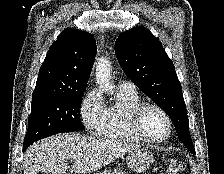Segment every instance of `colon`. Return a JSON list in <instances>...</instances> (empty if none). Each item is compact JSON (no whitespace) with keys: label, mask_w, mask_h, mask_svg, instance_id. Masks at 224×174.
<instances>
[{"label":"colon","mask_w":224,"mask_h":174,"mask_svg":"<svg viewBox=\"0 0 224 174\" xmlns=\"http://www.w3.org/2000/svg\"><path fill=\"white\" fill-rule=\"evenodd\" d=\"M185 168V163L182 160L172 159L167 165V174H183Z\"/></svg>","instance_id":"colon-1"}]
</instances>
